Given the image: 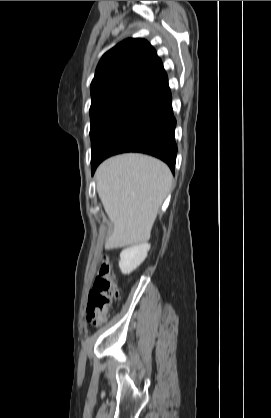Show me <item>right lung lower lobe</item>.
Returning a JSON list of instances; mask_svg holds the SVG:
<instances>
[{"label":"right lung lower lobe","instance_id":"right-lung-lower-lobe-1","mask_svg":"<svg viewBox=\"0 0 271 418\" xmlns=\"http://www.w3.org/2000/svg\"><path fill=\"white\" fill-rule=\"evenodd\" d=\"M171 100L170 94L124 126L91 162L92 174L104 159L124 152L155 156L166 162L174 172L177 154L174 139L176 120Z\"/></svg>","mask_w":271,"mask_h":418}]
</instances>
